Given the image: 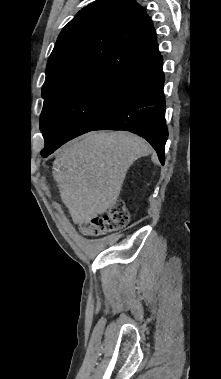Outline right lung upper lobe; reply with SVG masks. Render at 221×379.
<instances>
[{
  "label": "right lung upper lobe",
  "instance_id": "right-lung-upper-lobe-1",
  "mask_svg": "<svg viewBox=\"0 0 221 379\" xmlns=\"http://www.w3.org/2000/svg\"><path fill=\"white\" fill-rule=\"evenodd\" d=\"M160 55L155 30L135 0H97L62 29L42 96L100 76H122Z\"/></svg>",
  "mask_w": 221,
  "mask_h": 379
}]
</instances>
